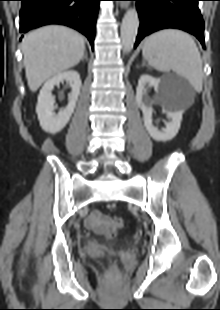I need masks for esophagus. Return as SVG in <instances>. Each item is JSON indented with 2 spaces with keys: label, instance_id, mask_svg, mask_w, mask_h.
<instances>
[{
  "label": "esophagus",
  "instance_id": "34e87169",
  "mask_svg": "<svg viewBox=\"0 0 220 310\" xmlns=\"http://www.w3.org/2000/svg\"><path fill=\"white\" fill-rule=\"evenodd\" d=\"M120 7L126 9L128 7V3L127 2H122L120 4Z\"/></svg>",
  "mask_w": 220,
  "mask_h": 310
}]
</instances>
